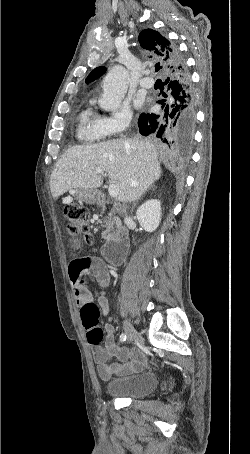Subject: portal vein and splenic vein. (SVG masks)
Here are the masks:
<instances>
[{
	"instance_id": "portal-vein-and-splenic-vein-1",
	"label": "portal vein and splenic vein",
	"mask_w": 250,
	"mask_h": 454,
	"mask_svg": "<svg viewBox=\"0 0 250 454\" xmlns=\"http://www.w3.org/2000/svg\"><path fill=\"white\" fill-rule=\"evenodd\" d=\"M95 173L101 174L103 176H106V174H104V172L101 169H96ZM108 193H109V196L111 198H116V197H118L119 189H118V187L116 185L110 184L109 189H108Z\"/></svg>"
}]
</instances>
